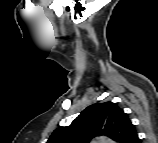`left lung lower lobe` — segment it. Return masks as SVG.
<instances>
[{"instance_id": "1", "label": "left lung lower lobe", "mask_w": 158, "mask_h": 143, "mask_svg": "<svg viewBox=\"0 0 158 143\" xmlns=\"http://www.w3.org/2000/svg\"><path fill=\"white\" fill-rule=\"evenodd\" d=\"M139 142V138H138V136H136L135 138H134V140L132 141V143H138Z\"/></svg>"}]
</instances>
